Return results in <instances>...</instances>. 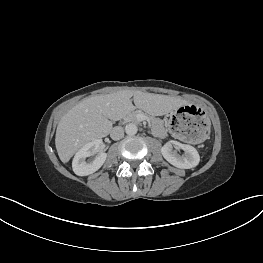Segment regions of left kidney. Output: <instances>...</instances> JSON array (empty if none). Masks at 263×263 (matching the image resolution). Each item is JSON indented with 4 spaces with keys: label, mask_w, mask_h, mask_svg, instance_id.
Here are the masks:
<instances>
[{
    "label": "left kidney",
    "mask_w": 263,
    "mask_h": 263,
    "mask_svg": "<svg viewBox=\"0 0 263 263\" xmlns=\"http://www.w3.org/2000/svg\"><path fill=\"white\" fill-rule=\"evenodd\" d=\"M173 147L184 150L185 155H178L173 151ZM161 153L170 164L181 169H190L196 167L200 161L199 153L193 146L174 140L167 142L161 148Z\"/></svg>",
    "instance_id": "1"
}]
</instances>
